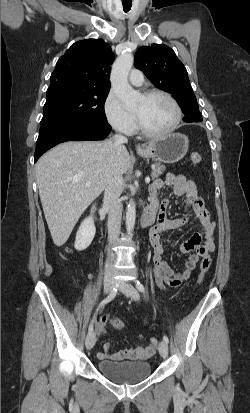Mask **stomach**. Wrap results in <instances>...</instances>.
Returning <instances> with one entry per match:
<instances>
[{
    "mask_svg": "<svg viewBox=\"0 0 250 413\" xmlns=\"http://www.w3.org/2000/svg\"><path fill=\"white\" fill-rule=\"evenodd\" d=\"M188 137L181 133L167 134L139 151L144 158H153L163 163H176L181 160L188 151Z\"/></svg>",
    "mask_w": 250,
    "mask_h": 413,
    "instance_id": "stomach-1",
    "label": "stomach"
}]
</instances>
